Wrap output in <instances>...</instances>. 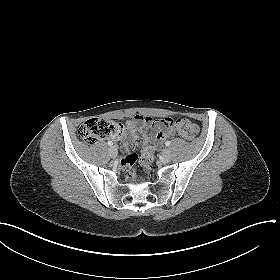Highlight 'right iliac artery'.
Returning <instances> with one entry per match:
<instances>
[{
    "mask_svg": "<svg viewBox=\"0 0 280 280\" xmlns=\"http://www.w3.org/2000/svg\"><path fill=\"white\" fill-rule=\"evenodd\" d=\"M108 145H109V146H112V145H113V142H112V141H108Z\"/></svg>",
    "mask_w": 280,
    "mask_h": 280,
    "instance_id": "82829eb1",
    "label": "right iliac artery"
}]
</instances>
